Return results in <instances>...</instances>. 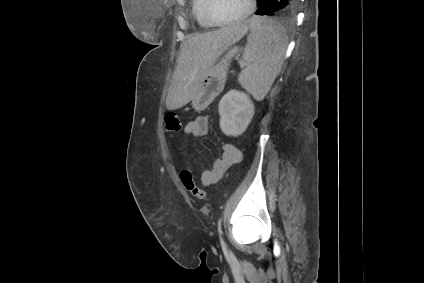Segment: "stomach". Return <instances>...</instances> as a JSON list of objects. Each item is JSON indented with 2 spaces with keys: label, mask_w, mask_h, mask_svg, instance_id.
Masks as SVG:
<instances>
[{
  "label": "stomach",
  "mask_w": 424,
  "mask_h": 283,
  "mask_svg": "<svg viewBox=\"0 0 424 283\" xmlns=\"http://www.w3.org/2000/svg\"><path fill=\"white\" fill-rule=\"evenodd\" d=\"M239 50L238 47H232L227 51L224 58L221 61H218V63L215 62L213 67L210 69V71L206 74L203 81L201 82V85L196 92L194 98L192 99V105L196 109H202L200 105L201 98L204 94H206L210 88L217 83L216 90L221 89V84L223 82V79H219V74L222 73V75L226 74L227 68L229 66L231 58L237 53Z\"/></svg>",
  "instance_id": "1"
}]
</instances>
